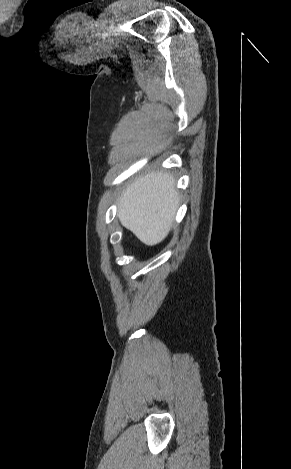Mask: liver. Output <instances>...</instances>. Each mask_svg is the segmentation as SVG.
Returning <instances> with one entry per match:
<instances>
[{"instance_id":"obj_1","label":"liver","mask_w":291,"mask_h":469,"mask_svg":"<svg viewBox=\"0 0 291 469\" xmlns=\"http://www.w3.org/2000/svg\"><path fill=\"white\" fill-rule=\"evenodd\" d=\"M179 206L175 181L166 172L138 178L119 199L118 218L141 242L160 243L173 226Z\"/></svg>"}]
</instances>
